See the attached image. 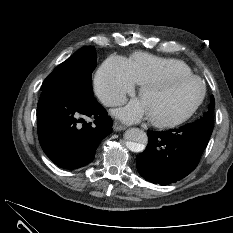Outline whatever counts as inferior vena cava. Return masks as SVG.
I'll use <instances>...</instances> for the list:
<instances>
[{"label": "inferior vena cava", "mask_w": 233, "mask_h": 233, "mask_svg": "<svg viewBox=\"0 0 233 233\" xmlns=\"http://www.w3.org/2000/svg\"><path fill=\"white\" fill-rule=\"evenodd\" d=\"M123 103V98L121 96H111L104 101L107 106H117Z\"/></svg>", "instance_id": "1"}]
</instances>
